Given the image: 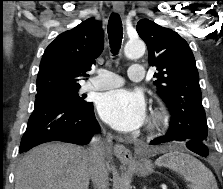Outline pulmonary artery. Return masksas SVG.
I'll use <instances>...</instances> for the list:
<instances>
[{
    "mask_svg": "<svg viewBox=\"0 0 223 189\" xmlns=\"http://www.w3.org/2000/svg\"><path fill=\"white\" fill-rule=\"evenodd\" d=\"M145 71L140 64H132L128 70V78L131 82L137 83L144 81ZM123 84V79L106 69H99L97 76L89 80L85 88L87 90H107L115 87H119Z\"/></svg>",
    "mask_w": 223,
    "mask_h": 189,
    "instance_id": "obj_1",
    "label": "pulmonary artery"
}]
</instances>
